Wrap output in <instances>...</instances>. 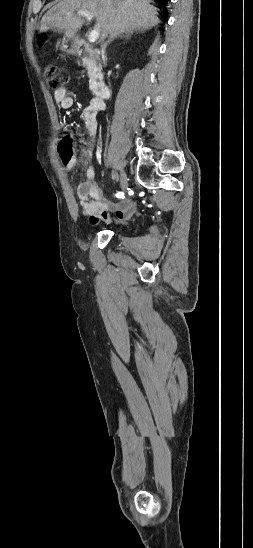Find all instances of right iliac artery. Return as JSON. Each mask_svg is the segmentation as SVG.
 <instances>
[{
  "instance_id": "obj_1",
  "label": "right iliac artery",
  "mask_w": 253,
  "mask_h": 548,
  "mask_svg": "<svg viewBox=\"0 0 253 548\" xmlns=\"http://www.w3.org/2000/svg\"><path fill=\"white\" fill-rule=\"evenodd\" d=\"M116 196L119 197V198H120V197L123 198V197H124V194H123V192H119V193L116 194Z\"/></svg>"
}]
</instances>
